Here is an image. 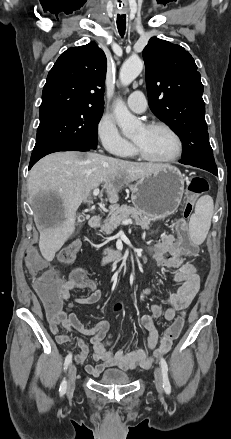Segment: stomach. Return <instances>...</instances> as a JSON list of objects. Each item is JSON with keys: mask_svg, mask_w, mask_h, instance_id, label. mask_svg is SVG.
Returning a JSON list of instances; mask_svg holds the SVG:
<instances>
[{"mask_svg": "<svg viewBox=\"0 0 231 439\" xmlns=\"http://www.w3.org/2000/svg\"><path fill=\"white\" fill-rule=\"evenodd\" d=\"M184 182L180 170L167 165L137 180L131 187L132 204L151 220L164 219L179 207Z\"/></svg>", "mask_w": 231, "mask_h": 439, "instance_id": "stomach-1", "label": "stomach"}]
</instances>
